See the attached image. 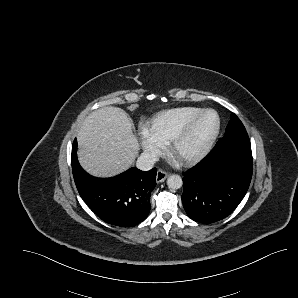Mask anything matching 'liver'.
<instances>
[{
    "mask_svg": "<svg viewBox=\"0 0 298 298\" xmlns=\"http://www.w3.org/2000/svg\"><path fill=\"white\" fill-rule=\"evenodd\" d=\"M130 123L126 113L113 106L86 116L77 132V160L89 175L113 178L134 166L141 145Z\"/></svg>",
    "mask_w": 298,
    "mask_h": 298,
    "instance_id": "obj_1",
    "label": "liver"
}]
</instances>
